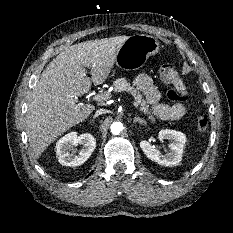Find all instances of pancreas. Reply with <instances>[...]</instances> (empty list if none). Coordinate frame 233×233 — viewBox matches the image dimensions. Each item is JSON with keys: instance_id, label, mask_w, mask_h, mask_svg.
<instances>
[{"instance_id": "1", "label": "pancreas", "mask_w": 233, "mask_h": 233, "mask_svg": "<svg viewBox=\"0 0 233 233\" xmlns=\"http://www.w3.org/2000/svg\"><path fill=\"white\" fill-rule=\"evenodd\" d=\"M113 89L115 92L125 91L130 93L135 98L137 104L141 105V110L143 113L148 115V119L153 123L156 122V118H154L149 111V105L147 104L146 100L143 98L140 92L131 86V84L125 78L116 79L113 82Z\"/></svg>"}]
</instances>
